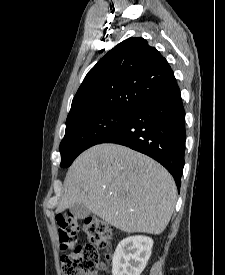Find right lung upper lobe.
<instances>
[{"label": "right lung upper lobe", "instance_id": "right-lung-upper-lobe-1", "mask_svg": "<svg viewBox=\"0 0 225 275\" xmlns=\"http://www.w3.org/2000/svg\"><path fill=\"white\" fill-rule=\"evenodd\" d=\"M178 88L167 60L143 38H128L88 72L73 98L66 124L92 114L132 111Z\"/></svg>", "mask_w": 225, "mask_h": 275}]
</instances>
